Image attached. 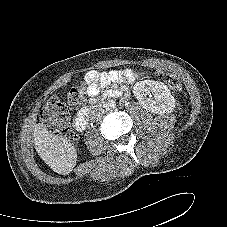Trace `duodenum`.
<instances>
[{
	"mask_svg": "<svg viewBox=\"0 0 227 227\" xmlns=\"http://www.w3.org/2000/svg\"><path fill=\"white\" fill-rule=\"evenodd\" d=\"M108 96H111L108 94ZM99 105V103H94L89 107L84 108L79 112L77 117L75 118V127L78 131H83L85 130L87 124H88V119L90 113Z\"/></svg>",
	"mask_w": 227,
	"mask_h": 227,
	"instance_id": "obj_1",
	"label": "duodenum"
}]
</instances>
